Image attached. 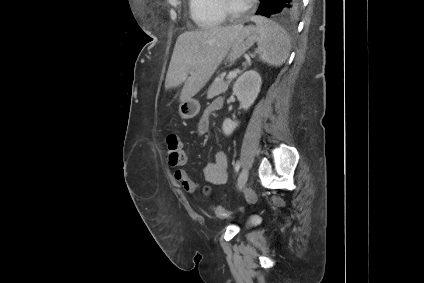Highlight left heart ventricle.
Listing matches in <instances>:
<instances>
[{
	"mask_svg": "<svg viewBox=\"0 0 424 283\" xmlns=\"http://www.w3.org/2000/svg\"><path fill=\"white\" fill-rule=\"evenodd\" d=\"M228 3L233 9H236V10L242 9L247 4L242 2L241 0H228Z\"/></svg>",
	"mask_w": 424,
	"mask_h": 283,
	"instance_id": "left-heart-ventricle-1",
	"label": "left heart ventricle"
}]
</instances>
